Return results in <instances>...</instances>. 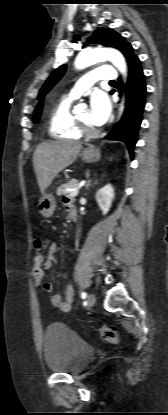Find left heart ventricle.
I'll return each instance as SVG.
<instances>
[{"label":"left heart ventricle","instance_id":"1","mask_svg":"<svg viewBox=\"0 0 168 415\" xmlns=\"http://www.w3.org/2000/svg\"><path fill=\"white\" fill-rule=\"evenodd\" d=\"M77 116L84 121L87 125H89L92 128H95V126L90 122V112L88 108H85L81 110Z\"/></svg>","mask_w":168,"mask_h":415}]
</instances>
